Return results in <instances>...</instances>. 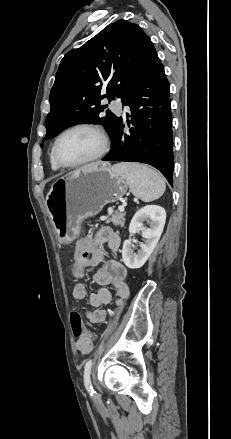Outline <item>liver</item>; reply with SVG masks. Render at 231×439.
<instances>
[{
  "mask_svg": "<svg viewBox=\"0 0 231 439\" xmlns=\"http://www.w3.org/2000/svg\"><path fill=\"white\" fill-rule=\"evenodd\" d=\"M95 163H92V164H89V165H87V166H91V165H94ZM87 166H85V167H87ZM84 168V167H83ZM82 169V168H81Z\"/></svg>",
  "mask_w": 231,
  "mask_h": 439,
  "instance_id": "6515ba94",
  "label": "liver"
}]
</instances>
